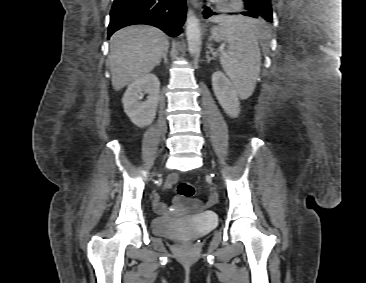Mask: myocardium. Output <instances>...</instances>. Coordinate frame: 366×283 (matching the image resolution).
<instances>
[{
  "label": "myocardium",
  "mask_w": 366,
  "mask_h": 283,
  "mask_svg": "<svg viewBox=\"0 0 366 283\" xmlns=\"http://www.w3.org/2000/svg\"><path fill=\"white\" fill-rule=\"evenodd\" d=\"M222 6L230 10H238L242 7L241 0H221Z\"/></svg>",
  "instance_id": "myocardium-1"
}]
</instances>
